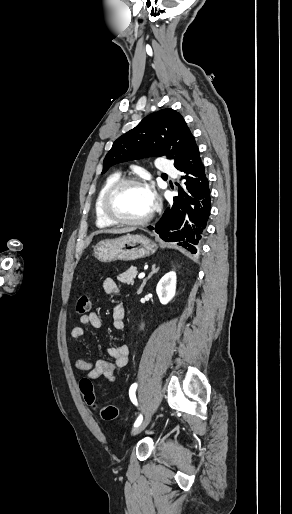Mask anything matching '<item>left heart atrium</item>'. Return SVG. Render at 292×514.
Here are the masks:
<instances>
[{"label":"left heart atrium","instance_id":"left-heart-atrium-1","mask_svg":"<svg viewBox=\"0 0 292 514\" xmlns=\"http://www.w3.org/2000/svg\"><path fill=\"white\" fill-rule=\"evenodd\" d=\"M143 189L146 193V196L151 204V206H153L156 202V194H155V191L153 189V186L150 185V184H145L143 186Z\"/></svg>","mask_w":292,"mask_h":514}]
</instances>
